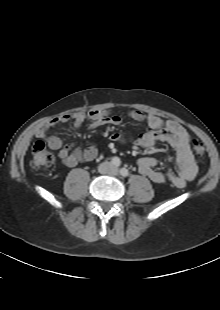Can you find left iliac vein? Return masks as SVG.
I'll use <instances>...</instances> for the list:
<instances>
[{"mask_svg":"<svg viewBox=\"0 0 220 310\" xmlns=\"http://www.w3.org/2000/svg\"><path fill=\"white\" fill-rule=\"evenodd\" d=\"M113 175H117L118 174V170L116 168H112L111 170Z\"/></svg>","mask_w":220,"mask_h":310,"instance_id":"obj_1","label":"left iliac vein"}]
</instances>
